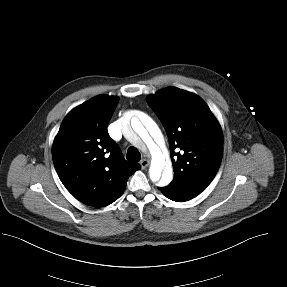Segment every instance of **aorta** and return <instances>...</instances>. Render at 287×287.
<instances>
[{"mask_svg": "<svg viewBox=\"0 0 287 287\" xmlns=\"http://www.w3.org/2000/svg\"><path fill=\"white\" fill-rule=\"evenodd\" d=\"M142 122L148 131L136 117L131 119V126L142 138L151 153L152 160L149 169L150 179L153 182H158L161 186H166L173 179V169L168 156H165L160 147L156 144L163 142V135L158 125L148 115H142Z\"/></svg>", "mask_w": 287, "mask_h": 287, "instance_id": "obj_1", "label": "aorta"}]
</instances>
